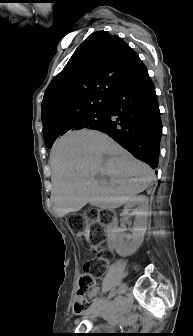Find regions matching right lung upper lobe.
<instances>
[{
  "label": "right lung upper lobe",
  "instance_id": "obj_1",
  "mask_svg": "<svg viewBox=\"0 0 193 336\" xmlns=\"http://www.w3.org/2000/svg\"><path fill=\"white\" fill-rule=\"evenodd\" d=\"M140 62L138 54L120 37L105 31L88 36L44 94V140L69 133L79 117L107 108Z\"/></svg>",
  "mask_w": 193,
  "mask_h": 336
}]
</instances>
